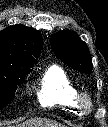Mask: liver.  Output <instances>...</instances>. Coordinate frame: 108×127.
Segmentation results:
<instances>
[{
	"label": "liver",
	"mask_w": 108,
	"mask_h": 127,
	"mask_svg": "<svg viewBox=\"0 0 108 127\" xmlns=\"http://www.w3.org/2000/svg\"><path fill=\"white\" fill-rule=\"evenodd\" d=\"M13 127H65L63 124L46 118H31Z\"/></svg>",
	"instance_id": "obj_1"
}]
</instances>
